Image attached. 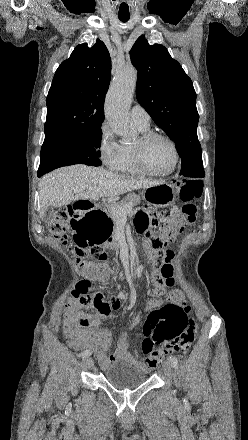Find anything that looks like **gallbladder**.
<instances>
[{"label":"gallbladder","mask_w":248,"mask_h":440,"mask_svg":"<svg viewBox=\"0 0 248 440\" xmlns=\"http://www.w3.org/2000/svg\"><path fill=\"white\" fill-rule=\"evenodd\" d=\"M53 215H54V207L49 206V207L45 210V213H44L42 219H43V221L47 222V221H49V220L52 218Z\"/></svg>","instance_id":"obj_1"}]
</instances>
